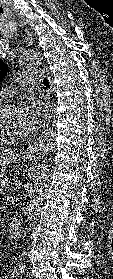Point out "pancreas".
<instances>
[{"label": "pancreas", "mask_w": 113, "mask_h": 279, "mask_svg": "<svg viewBox=\"0 0 113 279\" xmlns=\"http://www.w3.org/2000/svg\"><path fill=\"white\" fill-rule=\"evenodd\" d=\"M7 184H8V179L7 178H3L0 181V194H5V191L7 189Z\"/></svg>", "instance_id": "1"}]
</instances>
